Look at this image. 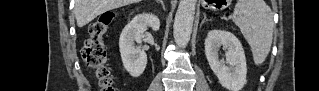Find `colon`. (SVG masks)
I'll use <instances>...</instances> for the list:
<instances>
[{
	"mask_svg": "<svg viewBox=\"0 0 319 91\" xmlns=\"http://www.w3.org/2000/svg\"><path fill=\"white\" fill-rule=\"evenodd\" d=\"M113 17L111 12L101 14L91 24L89 37L82 48V58L102 91L113 90L112 80L106 67L107 55L104 47V36Z\"/></svg>",
	"mask_w": 319,
	"mask_h": 91,
	"instance_id": "colon-1",
	"label": "colon"
}]
</instances>
